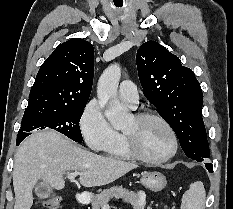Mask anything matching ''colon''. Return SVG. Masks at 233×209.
I'll use <instances>...</instances> for the list:
<instances>
[{
  "label": "colon",
  "mask_w": 233,
  "mask_h": 209,
  "mask_svg": "<svg viewBox=\"0 0 233 209\" xmlns=\"http://www.w3.org/2000/svg\"><path fill=\"white\" fill-rule=\"evenodd\" d=\"M42 205L45 209H59L60 199L58 197H51L43 201Z\"/></svg>",
  "instance_id": "1"
}]
</instances>
